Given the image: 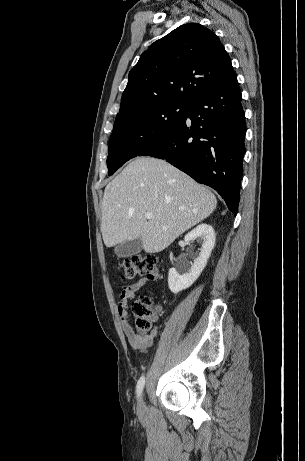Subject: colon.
Returning <instances> with one entry per match:
<instances>
[{"instance_id": "1", "label": "colon", "mask_w": 305, "mask_h": 461, "mask_svg": "<svg viewBox=\"0 0 305 461\" xmlns=\"http://www.w3.org/2000/svg\"><path fill=\"white\" fill-rule=\"evenodd\" d=\"M161 260L156 255H135L123 260L120 264L122 278L131 280L136 277L156 279L159 277ZM152 298L142 295L131 303V312L134 317V327L137 331L146 333L152 329L151 308Z\"/></svg>"}]
</instances>
